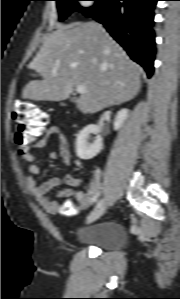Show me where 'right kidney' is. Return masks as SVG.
Instances as JSON below:
<instances>
[{
  "label": "right kidney",
  "instance_id": "1",
  "mask_svg": "<svg viewBox=\"0 0 180 299\" xmlns=\"http://www.w3.org/2000/svg\"><path fill=\"white\" fill-rule=\"evenodd\" d=\"M128 113V109H121L118 111L114 121L115 130H119L121 128L128 117ZM99 132V127L94 124L87 125L80 131L76 139V154L79 158L84 160L92 159L102 150L103 144ZM90 134L96 135L93 143L88 142Z\"/></svg>",
  "mask_w": 180,
  "mask_h": 299
}]
</instances>
